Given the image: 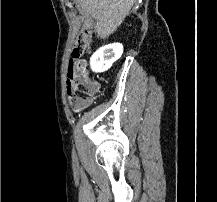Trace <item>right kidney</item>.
Listing matches in <instances>:
<instances>
[{
    "label": "right kidney",
    "mask_w": 217,
    "mask_h": 202,
    "mask_svg": "<svg viewBox=\"0 0 217 202\" xmlns=\"http://www.w3.org/2000/svg\"><path fill=\"white\" fill-rule=\"evenodd\" d=\"M123 54L122 44H108L99 48L92 58H90V66L93 72H106L111 68L112 64L119 60Z\"/></svg>",
    "instance_id": "right-kidney-1"
}]
</instances>
